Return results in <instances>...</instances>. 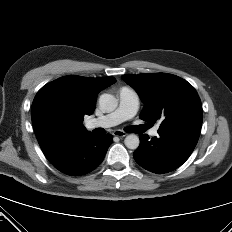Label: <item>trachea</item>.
I'll use <instances>...</instances> for the list:
<instances>
[{"label": "trachea", "instance_id": "trachea-1", "mask_svg": "<svg viewBox=\"0 0 232 232\" xmlns=\"http://www.w3.org/2000/svg\"><path fill=\"white\" fill-rule=\"evenodd\" d=\"M149 128H150V125L145 124V125L132 126L128 129V131L131 133H143Z\"/></svg>", "mask_w": 232, "mask_h": 232}]
</instances>
